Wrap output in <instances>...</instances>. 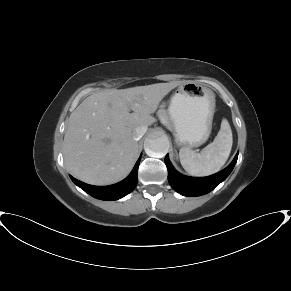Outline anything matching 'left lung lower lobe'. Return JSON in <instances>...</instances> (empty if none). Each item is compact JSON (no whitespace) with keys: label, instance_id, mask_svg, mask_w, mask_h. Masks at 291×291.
I'll list each match as a JSON object with an SVG mask.
<instances>
[{"label":"left lung lower lobe","instance_id":"1","mask_svg":"<svg viewBox=\"0 0 291 291\" xmlns=\"http://www.w3.org/2000/svg\"><path fill=\"white\" fill-rule=\"evenodd\" d=\"M238 154L231 164L224 170L201 178L187 177L178 173L172 166L168 155L165 156V164L168 169V182L179 194L184 196H200L212 191L224 181L233 170L237 162Z\"/></svg>","mask_w":291,"mask_h":291}]
</instances>
